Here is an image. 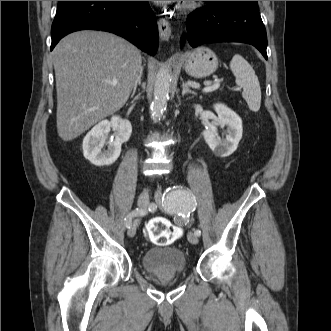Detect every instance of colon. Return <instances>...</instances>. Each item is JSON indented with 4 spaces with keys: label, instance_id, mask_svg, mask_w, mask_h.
I'll return each instance as SVG.
<instances>
[{
    "label": "colon",
    "instance_id": "5ec220e1",
    "mask_svg": "<svg viewBox=\"0 0 331 331\" xmlns=\"http://www.w3.org/2000/svg\"><path fill=\"white\" fill-rule=\"evenodd\" d=\"M145 234L153 244L165 246L179 238L182 232L166 218L155 217L146 225Z\"/></svg>",
    "mask_w": 331,
    "mask_h": 331
}]
</instances>
